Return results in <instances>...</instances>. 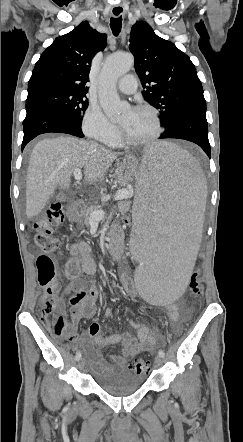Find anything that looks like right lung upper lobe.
<instances>
[{
	"instance_id": "right-lung-upper-lobe-1",
	"label": "right lung upper lobe",
	"mask_w": 243,
	"mask_h": 442,
	"mask_svg": "<svg viewBox=\"0 0 243 442\" xmlns=\"http://www.w3.org/2000/svg\"><path fill=\"white\" fill-rule=\"evenodd\" d=\"M106 34L87 21L57 37L42 53L28 82V97L51 90L85 95L92 58L106 46Z\"/></svg>"
}]
</instances>
